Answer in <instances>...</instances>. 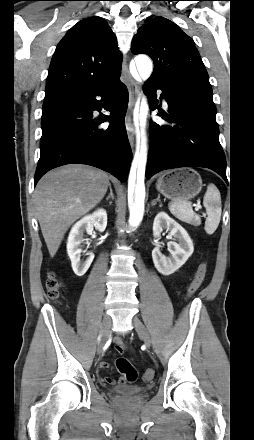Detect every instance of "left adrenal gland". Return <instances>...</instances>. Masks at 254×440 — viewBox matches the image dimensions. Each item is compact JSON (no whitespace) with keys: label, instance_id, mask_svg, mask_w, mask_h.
Returning a JSON list of instances; mask_svg holds the SVG:
<instances>
[{"label":"left adrenal gland","instance_id":"a2214340","mask_svg":"<svg viewBox=\"0 0 254 440\" xmlns=\"http://www.w3.org/2000/svg\"><path fill=\"white\" fill-rule=\"evenodd\" d=\"M157 202H159V206L161 207L162 203H161V200H160V195H158V197L151 202V205L154 206V205L157 204Z\"/></svg>","mask_w":254,"mask_h":440}]
</instances>
